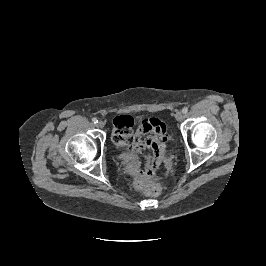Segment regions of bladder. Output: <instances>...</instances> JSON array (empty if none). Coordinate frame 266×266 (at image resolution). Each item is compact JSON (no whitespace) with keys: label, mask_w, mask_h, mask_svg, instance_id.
Listing matches in <instances>:
<instances>
[{"label":"bladder","mask_w":266,"mask_h":266,"mask_svg":"<svg viewBox=\"0 0 266 266\" xmlns=\"http://www.w3.org/2000/svg\"><path fill=\"white\" fill-rule=\"evenodd\" d=\"M126 156H127L128 158H133V157H134V155H133L132 153H126Z\"/></svg>","instance_id":"obj_1"}]
</instances>
